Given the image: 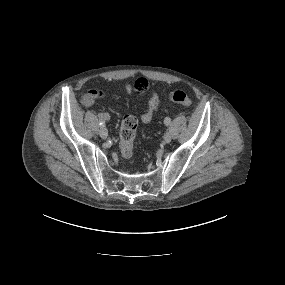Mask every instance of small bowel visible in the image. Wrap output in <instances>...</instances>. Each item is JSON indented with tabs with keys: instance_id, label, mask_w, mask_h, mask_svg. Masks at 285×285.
I'll use <instances>...</instances> for the list:
<instances>
[{
	"instance_id": "1",
	"label": "small bowel",
	"mask_w": 285,
	"mask_h": 285,
	"mask_svg": "<svg viewBox=\"0 0 285 285\" xmlns=\"http://www.w3.org/2000/svg\"><path fill=\"white\" fill-rule=\"evenodd\" d=\"M124 90L126 93L130 94L133 92V87L130 84H126L124 86ZM134 90L137 94L143 95L149 90V84L147 87L143 90H136L134 86ZM162 93L151 89L150 90V98L148 100L147 109L146 111L141 115L140 120L143 124H148L152 121L154 116L157 114L161 107L162 99H161ZM105 94L97 89H90L87 91L83 97H82V104L89 108L94 105L97 99L103 98ZM98 117L101 121L106 122L110 119V115L106 112H102L98 114Z\"/></svg>"
}]
</instances>
